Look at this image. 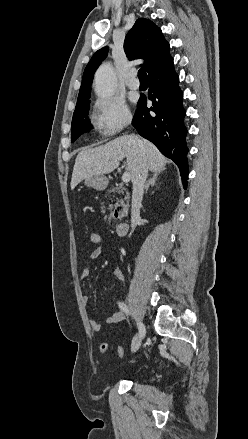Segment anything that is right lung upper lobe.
I'll use <instances>...</instances> for the list:
<instances>
[{"instance_id": "obj_1", "label": "right lung upper lobe", "mask_w": 248, "mask_h": 439, "mask_svg": "<svg viewBox=\"0 0 248 439\" xmlns=\"http://www.w3.org/2000/svg\"><path fill=\"white\" fill-rule=\"evenodd\" d=\"M124 49L128 58L143 59L142 64L148 74L160 70L173 62L169 54L170 45L163 37V33L152 21L139 18L126 35ZM108 47L96 51L87 64L82 78L76 109L90 98L91 84L99 63L106 57Z\"/></svg>"}]
</instances>
